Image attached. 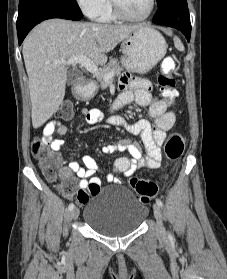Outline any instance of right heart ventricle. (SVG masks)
I'll use <instances>...</instances> for the list:
<instances>
[{"label":"right heart ventricle","mask_w":227,"mask_h":279,"mask_svg":"<svg viewBox=\"0 0 227 279\" xmlns=\"http://www.w3.org/2000/svg\"><path fill=\"white\" fill-rule=\"evenodd\" d=\"M98 17L101 21H105V22L115 21L117 19V16L112 11L110 4Z\"/></svg>","instance_id":"e07e8e85"}]
</instances>
